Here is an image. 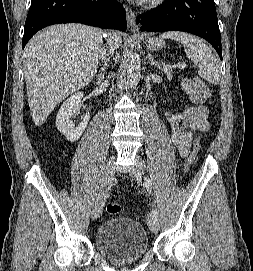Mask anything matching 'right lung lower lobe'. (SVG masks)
<instances>
[{"label":"right lung lower lobe","instance_id":"1","mask_svg":"<svg viewBox=\"0 0 253 271\" xmlns=\"http://www.w3.org/2000/svg\"><path fill=\"white\" fill-rule=\"evenodd\" d=\"M70 22L121 31L127 28L125 10L117 0H32L24 27L23 48L42 28Z\"/></svg>","mask_w":253,"mask_h":271}]
</instances>
